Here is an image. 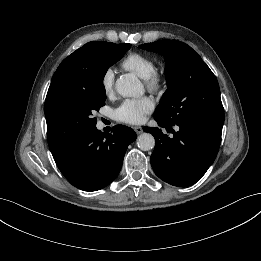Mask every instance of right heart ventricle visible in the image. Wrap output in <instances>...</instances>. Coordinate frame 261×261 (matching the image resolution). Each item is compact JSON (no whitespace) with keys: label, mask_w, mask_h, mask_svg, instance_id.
<instances>
[{"label":"right heart ventricle","mask_w":261,"mask_h":261,"mask_svg":"<svg viewBox=\"0 0 261 261\" xmlns=\"http://www.w3.org/2000/svg\"><path fill=\"white\" fill-rule=\"evenodd\" d=\"M122 67L146 79L156 70L155 61L148 55L132 52L122 61Z\"/></svg>","instance_id":"e07e8e85"}]
</instances>
